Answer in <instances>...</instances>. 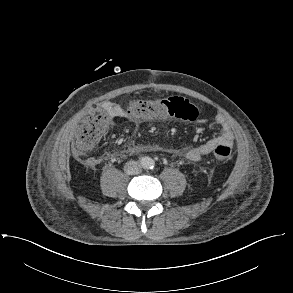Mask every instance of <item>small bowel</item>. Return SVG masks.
Instances as JSON below:
<instances>
[{
    "instance_id": "obj_1",
    "label": "small bowel",
    "mask_w": 293,
    "mask_h": 293,
    "mask_svg": "<svg viewBox=\"0 0 293 293\" xmlns=\"http://www.w3.org/2000/svg\"><path fill=\"white\" fill-rule=\"evenodd\" d=\"M103 109L106 110L109 115L115 119H130L127 111L120 105L114 103H106L103 105ZM218 124L221 127V133L218 137L210 139L200 146L193 147L183 153V155L190 161L198 162L208 155L215 147L217 143H224L228 146H232L234 143V134L230 125L222 119H218ZM207 120H199L201 126L207 125ZM87 163L94 165L97 163L96 158H89Z\"/></svg>"
}]
</instances>
